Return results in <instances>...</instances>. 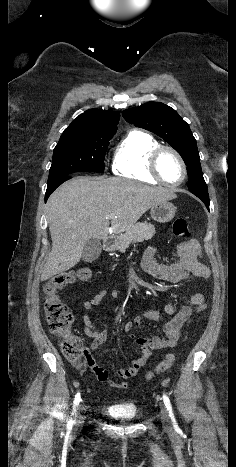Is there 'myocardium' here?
<instances>
[{
	"mask_svg": "<svg viewBox=\"0 0 236 467\" xmlns=\"http://www.w3.org/2000/svg\"><path fill=\"white\" fill-rule=\"evenodd\" d=\"M166 151L172 153L178 159V161L180 162L181 167H182V172H183L182 178H181L180 181H178L176 183H169V182L165 181L164 178L162 177L161 173H160V170H159L160 157ZM149 171H150L151 175L158 182H160L161 184H163L165 186H168V187H178V186L182 185L184 183V181L186 180V177H187V166H186V163H185L183 157L181 156V154L176 149H174L171 146H167V145H160V146L156 147L150 153V156H149Z\"/></svg>",
	"mask_w": 236,
	"mask_h": 467,
	"instance_id": "1",
	"label": "myocardium"
}]
</instances>
